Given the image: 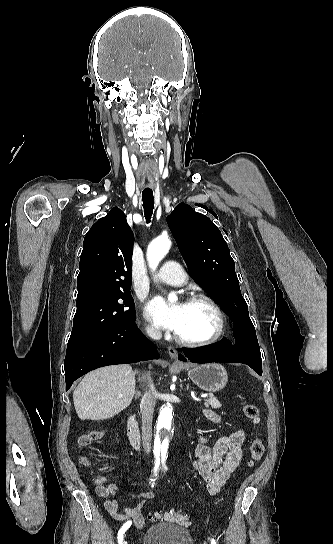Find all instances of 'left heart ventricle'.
I'll return each mask as SVG.
<instances>
[{
    "label": "left heart ventricle",
    "mask_w": 333,
    "mask_h": 544,
    "mask_svg": "<svg viewBox=\"0 0 333 544\" xmlns=\"http://www.w3.org/2000/svg\"><path fill=\"white\" fill-rule=\"evenodd\" d=\"M216 326V315L206 303H186L182 322L176 333L188 340H203L215 332Z\"/></svg>",
    "instance_id": "1"
}]
</instances>
